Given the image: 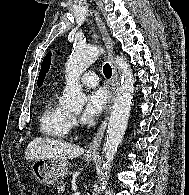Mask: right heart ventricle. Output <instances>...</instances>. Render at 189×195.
<instances>
[{
  "label": "right heart ventricle",
  "mask_w": 189,
  "mask_h": 195,
  "mask_svg": "<svg viewBox=\"0 0 189 195\" xmlns=\"http://www.w3.org/2000/svg\"><path fill=\"white\" fill-rule=\"evenodd\" d=\"M71 115L56 101L55 95H49L39 116V131L43 136L64 138L69 132Z\"/></svg>",
  "instance_id": "obj_1"
}]
</instances>
